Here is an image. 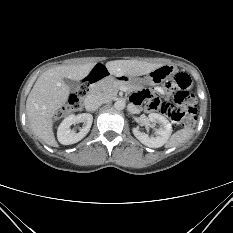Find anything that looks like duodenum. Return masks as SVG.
Here are the masks:
<instances>
[{"label":"duodenum","mask_w":233,"mask_h":233,"mask_svg":"<svg viewBox=\"0 0 233 233\" xmlns=\"http://www.w3.org/2000/svg\"><path fill=\"white\" fill-rule=\"evenodd\" d=\"M107 75V70L104 66H97L95 70L84 80L83 85L87 90H85L84 92H87V94L91 91L99 93L102 90V87L97 83V81Z\"/></svg>","instance_id":"duodenum-1"}]
</instances>
